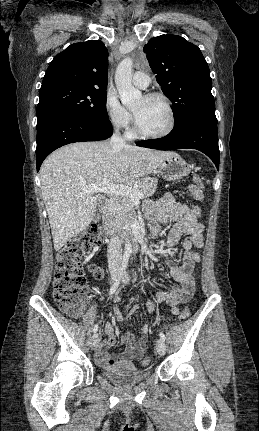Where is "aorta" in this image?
Segmentation results:
<instances>
[{"label": "aorta", "instance_id": "1", "mask_svg": "<svg viewBox=\"0 0 259 431\" xmlns=\"http://www.w3.org/2000/svg\"><path fill=\"white\" fill-rule=\"evenodd\" d=\"M133 61L131 58H124L117 66L115 72V83L120 94L122 104L131 109L138 105L142 99V93L132 85ZM126 255L132 253V245L129 239L125 242Z\"/></svg>", "mask_w": 259, "mask_h": 431}]
</instances>
